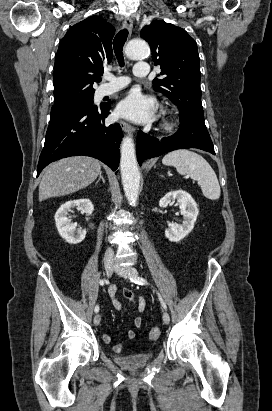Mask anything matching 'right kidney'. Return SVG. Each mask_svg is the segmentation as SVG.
I'll return each mask as SVG.
<instances>
[{"label":"right kidney","mask_w":272,"mask_h":411,"mask_svg":"<svg viewBox=\"0 0 272 411\" xmlns=\"http://www.w3.org/2000/svg\"><path fill=\"white\" fill-rule=\"evenodd\" d=\"M77 207L82 213L91 215L94 206L89 199L70 200L60 206L55 214V224L60 236L70 244H77L86 237V230L81 227L77 228L76 223H72L67 215L71 208Z\"/></svg>","instance_id":"obj_1"}]
</instances>
